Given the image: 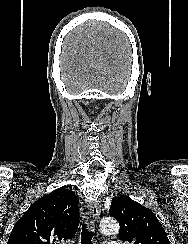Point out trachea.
<instances>
[{
    "mask_svg": "<svg viewBox=\"0 0 188 244\" xmlns=\"http://www.w3.org/2000/svg\"><path fill=\"white\" fill-rule=\"evenodd\" d=\"M93 235L90 222L88 221V224L84 223L82 225L81 244H92Z\"/></svg>",
    "mask_w": 188,
    "mask_h": 244,
    "instance_id": "1",
    "label": "trachea"
}]
</instances>
